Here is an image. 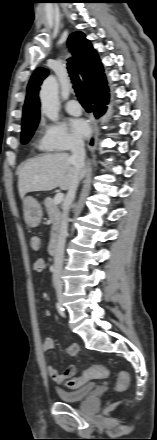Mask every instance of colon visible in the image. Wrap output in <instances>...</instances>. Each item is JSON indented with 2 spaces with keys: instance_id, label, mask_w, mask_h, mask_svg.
I'll return each mask as SVG.
<instances>
[{
  "instance_id": "colon-1",
  "label": "colon",
  "mask_w": 157,
  "mask_h": 440,
  "mask_svg": "<svg viewBox=\"0 0 157 440\" xmlns=\"http://www.w3.org/2000/svg\"><path fill=\"white\" fill-rule=\"evenodd\" d=\"M30 247L33 251H39L41 248V240L38 236H32L30 238ZM46 264L43 259H37L34 263V268L37 270H43ZM108 375V370L102 365H93L92 367L83 371L79 376L67 378L63 385L67 389H77L87 383L88 381L96 378H104ZM129 385V375L125 371L118 373L115 390L117 392L124 391Z\"/></svg>"
}]
</instances>
